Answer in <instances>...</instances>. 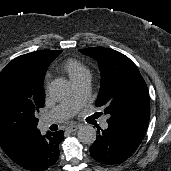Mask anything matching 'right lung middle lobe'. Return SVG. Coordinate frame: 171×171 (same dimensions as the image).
<instances>
[{"instance_id":"dd1d6c3e","label":"right lung middle lobe","mask_w":171,"mask_h":171,"mask_svg":"<svg viewBox=\"0 0 171 171\" xmlns=\"http://www.w3.org/2000/svg\"><path fill=\"white\" fill-rule=\"evenodd\" d=\"M44 103L43 83L13 59L0 73V139H31L39 131L35 115Z\"/></svg>"}]
</instances>
